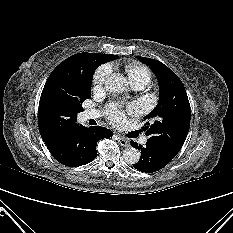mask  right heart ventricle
Instances as JSON below:
<instances>
[{
	"label": "right heart ventricle",
	"mask_w": 233,
	"mask_h": 233,
	"mask_svg": "<svg viewBox=\"0 0 233 233\" xmlns=\"http://www.w3.org/2000/svg\"><path fill=\"white\" fill-rule=\"evenodd\" d=\"M126 72L131 83L146 85L151 79L150 71L142 65L133 64L126 67Z\"/></svg>",
	"instance_id": "right-heart-ventricle-1"
}]
</instances>
